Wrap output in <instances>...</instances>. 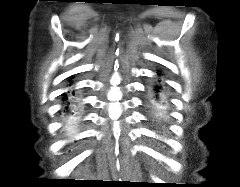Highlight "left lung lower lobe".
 Instances as JSON below:
<instances>
[{
  "mask_svg": "<svg viewBox=\"0 0 240 187\" xmlns=\"http://www.w3.org/2000/svg\"><path fill=\"white\" fill-rule=\"evenodd\" d=\"M161 74L158 73V76ZM146 108L151 116L156 120H161L166 117L168 109V95L166 84L158 78L156 82L148 88Z\"/></svg>",
  "mask_w": 240,
  "mask_h": 187,
  "instance_id": "0a47b994",
  "label": "left lung lower lobe"
}]
</instances>
